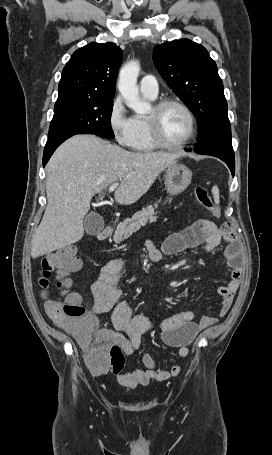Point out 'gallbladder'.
Segmentation results:
<instances>
[{
  "mask_svg": "<svg viewBox=\"0 0 272 455\" xmlns=\"http://www.w3.org/2000/svg\"><path fill=\"white\" fill-rule=\"evenodd\" d=\"M85 230L90 235L98 234L104 228L103 218L97 213H90L83 221Z\"/></svg>",
  "mask_w": 272,
  "mask_h": 455,
  "instance_id": "obj_1",
  "label": "gallbladder"
}]
</instances>
